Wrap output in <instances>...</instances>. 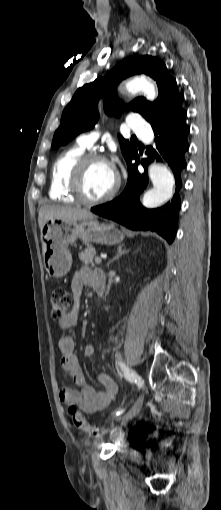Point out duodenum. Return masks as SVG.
Wrapping results in <instances>:
<instances>
[{"label":"duodenum","mask_w":221,"mask_h":510,"mask_svg":"<svg viewBox=\"0 0 221 510\" xmlns=\"http://www.w3.org/2000/svg\"><path fill=\"white\" fill-rule=\"evenodd\" d=\"M106 285V275L101 269H97L94 274V287L98 294H103Z\"/></svg>","instance_id":"duodenum-1"}]
</instances>
